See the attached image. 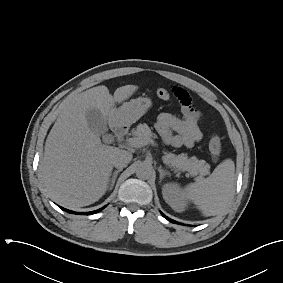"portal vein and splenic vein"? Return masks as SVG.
<instances>
[{
    "label": "portal vein and splenic vein",
    "instance_id": "portal-vein-and-splenic-vein-1",
    "mask_svg": "<svg viewBox=\"0 0 283 283\" xmlns=\"http://www.w3.org/2000/svg\"><path fill=\"white\" fill-rule=\"evenodd\" d=\"M128 144L132 147H141V146H145L147 144H152L154 145V141L151 139H136V138H129L128 139Z\"/></svg>",
    "mask_w": 283,
    "mask_h": 283
}]
</instances>
